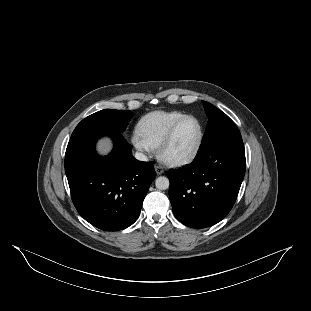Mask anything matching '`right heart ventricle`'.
<instances>
[{
  "label": "right heart ventricle",
  "mask_w": 311,
  "mask_h": 311,
  "mask_svg": "<svg viewBox=\"0 0 311 311\" xmlns=\"http://www.w3.org/2000/svg\"><path fill=\"white\" fill-rule=\"evenodd\" d=\"M187 114L179 111H152L135 125V135L152 148H157L172 126Z\"/></svg>",
  "instance_id": "1"
}]
</instances>
